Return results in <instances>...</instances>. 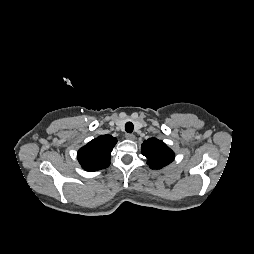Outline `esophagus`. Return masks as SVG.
Returning <instances> with one entry per match:
<instances>
[{"mask_svg": "<svg viewBox=\"0 0 254 254\" xmlns=\"http://www.w3.org/2000/svg\"><path fill=\"white\" fill-rule=\"evenodd\" d=\"M125 137H126L128 140H134V139H135V135L130 134V133H127V134L125 135Z\"/></svg>", "mask_w": 254, "mask_h": 254, "instance_id": "esophagus-1", "label": "esophagus"}]
</instances>
